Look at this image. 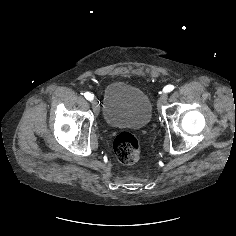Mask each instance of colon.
<instances>
[{"mask_svg":"<svg viewBox=\"0 0 236 236\" xmlns=\"http://www.w3.org/2000/svg\"><path fill=\"white\" fill-rule=\"evenodd\" d=\"M114 152L118 160L124 164L136 163L142 152L139 139L128 132L119 133L113 143Z\"/></svg>","mask_w":236,"mask_h":236,"instance_id":"5ec220e1","label":"colon"}]
</instances>
